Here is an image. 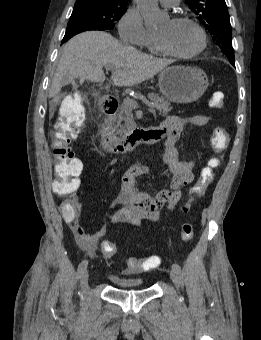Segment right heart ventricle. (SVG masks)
<instances>
[{
	"label": "right heart ventricle",
	"instance_id": "e07e8e85",
	"mask_svg": "<svg viewBox=\"0 0 261 340\" xmlns=\"http://www.w3.org/2000/svg\"><path fill=\"white\" fill-rule=\"evenodd\" d=\"M142 47H144L151 54L160 55L163 53L159 48L156 37L154 35H152Z\"/></svg>",
	"mask_w": 261,
	"mask_h": 340
}]
</instances>
